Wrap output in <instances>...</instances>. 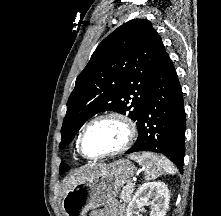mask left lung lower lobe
<instances>
[{"label":"left lung lower lobe","instance_id":"obj_1","mask_svg":"<svg viewBox=\"0 0 221 216\" xmlns=\"http://www.w3.org/2000/svg\"><path fill=\"white\" fill-rule=\"evenodd\" d=\"M138 138L126 154L150 151L167 156L182 172L185 155V111L175 68L165 52L149 86L137 124Z\"/></svg>","mask_w":221,"mask_h":216}]
</instances>
